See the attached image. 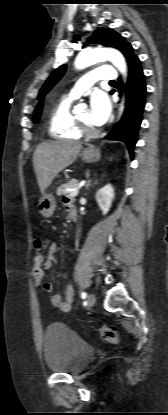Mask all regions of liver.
I'll use <instances>...</instances> for the list:
<instances>
[{"instance_id": "1", "label": "liver", "mask_w": 168, "mask_h": 415, "mask_svg": "<svg viewBox=\"0 0 168 415\" xmlns=\"http://www.w3.org/2000/svg\"><path fill=\"white\" fill-rule=\"evenodd\" d=\"M82 144L73 141H47L38 145L33 165L41 193L52 180L77 158Z\"/></svg>"}]
</instances>
